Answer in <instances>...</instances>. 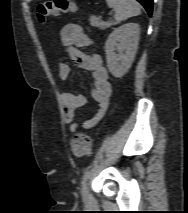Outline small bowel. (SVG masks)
Listing matches in <instances>:
<instances>
[{"label": "small bowel", "mask_w": 188, "mask_h": 213, "mask_svg": "<svg viewBox=\"0 0 188 213\" xmlns=\"http://www.w3.org/2000/svg\"><path fill=\"white\" fill-rule=\"evenodd\" d=\"M60 41L72 61L78 67L89 70L93 74L92 97L97 103V109L90 119L82 123V128L88 130L95 127L108 110L109 99L112 94L109 74L99 54H86L81 51V48L92 45V39L80 25L67 24L63 26L60 32ZM70 74L71 66L65 62L60 63L59 77L65 80L69 78ZM61 101L64 109V122L69 126V131L75 134L80 128V125L74 120L75 112L86 104V97L65 91L61 94Z\"/></svg>", "instance_id": "small-bowel-1"}]
</instances>
